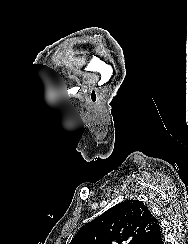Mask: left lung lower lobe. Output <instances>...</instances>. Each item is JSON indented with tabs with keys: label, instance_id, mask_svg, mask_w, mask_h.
<instances>
[{
	"label": "left lung lower lobe",
	"instance_id": "1",
	"mask_svg": "<svg viewBox=\"0 0 188 244\" xmlns=\"http://www.w3.org/2000/svg\"><path fill=\"white\" fill-rule=\"evenodd\" d=\"M162 232L160 226L156 229L154 235L152 236L151 240L148 244H163Z\"/></svg>",
	"mask_w": 188,
	"mask_h": 244
}]
</instances>
